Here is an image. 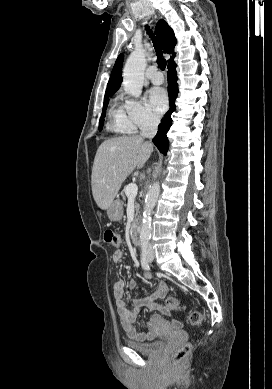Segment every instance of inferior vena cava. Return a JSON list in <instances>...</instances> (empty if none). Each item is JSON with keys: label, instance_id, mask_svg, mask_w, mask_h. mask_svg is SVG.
Wrapping results in <instances>:
<instances>
[{"label": "inferior vena cava", "instance_id": "inferior-vena-cava-1", "mask_svg": "<svg viewBox=\"0 0 272 389\" xmlns=\"http://www.w3.org/2000/svg\"><path fill=\"white\" fill-rule=\"evenodd\" d=\"M159 122V119L156 117H148L141 127V136L144 138L152 139L157 133ZM148 251L152 252L151 246L148 247Z\"/></svg>", "mask_w": 272, "mask_h": 389}]
</instances>
